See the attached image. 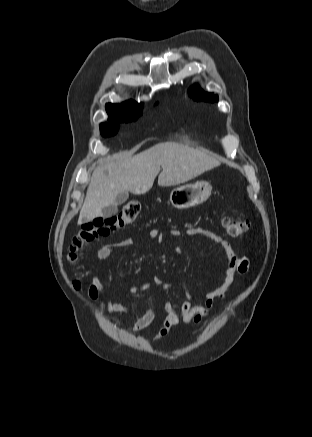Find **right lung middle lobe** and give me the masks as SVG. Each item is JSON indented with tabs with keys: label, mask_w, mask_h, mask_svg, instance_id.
<instances>
[{
	"label": "right lung middle lobe",
	"mask_w": 312,
	"mask_h": 437,
	"mask_svg": "<svg viewBox=\"0 0 312 437\" xmlns=\"http://www.w3.org/2000/svg\"><path fill=\"white\" fill-rule=\"evenodd\" d=\"M139 116L137 117H133V118H127V119H112L109 118L110 123L108 124H101L100 125V130H101V134L103 136H110V135H114L117 132V127L115 124H121V123H127V122H131V121H135L137 120Z\"/></svg>",
	"instance_id": "right-lung-middle-lobe-1"
}]
</instances>
